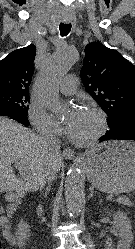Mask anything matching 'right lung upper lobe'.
Instances as JSON below:
<instances>
[{
	"label": "right lung upper lobe",
	"instance_id": "1",
	"mask_svg": "<svg viewBox=\"0 0 135 249\" xmlns=\"http://www.w3.org/2000/svg\"><path fill=\"white\" fill-rule=\"evenodd\" d=\"M36 47L32 44L14 50L0 61V91L28 92Z\"/></svg>",
	"mask_w": 135,
	"mask_h": 249
}]
</instances>
